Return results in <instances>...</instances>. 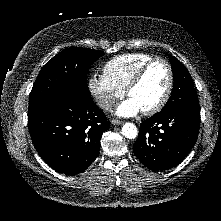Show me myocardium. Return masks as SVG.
I'll return each instance as SVG.
<instances>
[{
	"instance_id": "myocardium-1",
	"label": "myocardium",
	"mask_w": 221,
	"mask_h": 221,
	"mask_svg": "<svg viewBox=\"0 0 221 221\" xmlns=\"http://www.w3.org/2000/svg\"><path fill=\"white\" fill-rule=\"evenodd\" d=\"M155 62H161L165 65L167 69V73H168V81H167L165 91L162 97L160 98V100L154 106L145 110H141V112L144 115H153L159 112L167 103L170 97V94L172 92L173 83H174L173 69L170 63L162 57H152L151 59H149L148 61H146L143 65L139 67V69L136 71V73L134 74V76L132 77V79L130 80V82L128 83L125 89L126 95L129 97L131 91L141 82L148 68Z\"/></svg>"
}]
</instances>
